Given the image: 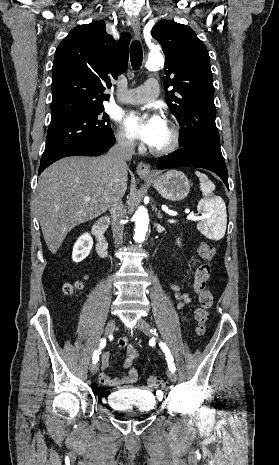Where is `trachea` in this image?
Returning a JSON list of instances; mask_svg holds the SVG:
<instances>
[{
  "mask_svg": "<svg viewBox=\"0 0 279 465\" xmlns=\"http://www.w3.org/2000/svg\"><path fill=\"white\" fill-rule=\"evenodd\" d=\"M130 59L133 69H139L143 61V51L140 42L137 40L133 41L131 44Z\"/></svg>",
  "mask_w": 279,
  "mask_h": 465,
  "instance_id": "trachea-1",
  "label": "trachea"
}]
</instances>
